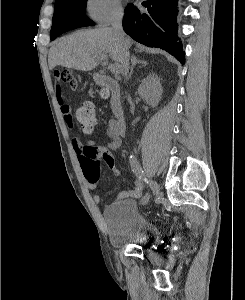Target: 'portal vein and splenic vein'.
Listing matches in <instances>:
<instances>
[{"label":"portal vein and splenic vein","mask_w":245,"mask_h":300,"mask_svg":"<svg viewBox=\"0 0 245 300\" xmlns=\"http://www.w3.org/2000/svg\"><path fill=\"white\" fill-rule=\"evenodd\" d=\"M101 61H105L107 60V56H102L100 58ZM111 72L114 73V74H119L120 73V65L119 64H115V65H112L111 68H110Z\"/></svg>","instance_id":"18ae733b"}]
</instances>
